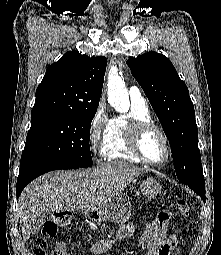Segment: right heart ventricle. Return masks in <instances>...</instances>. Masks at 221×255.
<instances>
[{"label":"right heart ventricle","mask_w":221,"mask_h":255,"mask_svg":"<svg viewBox=\"0 0 221 255\" xmlns=\"http://www.w3.org/2000/svg\"><path fill=\"white\" fill-rule=\"evenodd\" d=\"M136 121H151V114L147 105L131 102L130 111L126 115L117 116L110 120L102 145L104 157L108 160L140 163V160L130 150L127 141L128 126Z\"/></svg>","instance_id":"right-heart-ventricle-1"}]
</instances>
